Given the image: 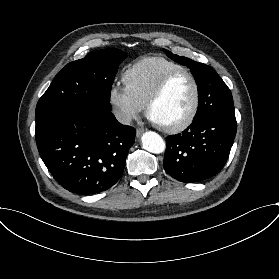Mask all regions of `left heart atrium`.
Masks as SVG:
<instances>
[{"label": "left heart atrium", "instance_id": "1", "mask_svg": "<svg viewBox=\"0 0 279 279\" xmlns=\"http://www.w3.org/2000/svg\"><path fill=\"white\" fill-rule=\"evenodd\" d=\"M152 121L155 123H159L158 120H156L155 118L151 117Z\"/></svg>", "mask_w": 279, "mask_h": 279}]
</instances>
